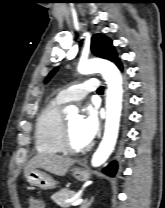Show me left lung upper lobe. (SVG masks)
Wrapping results in <instances>:
<instances>
[{
    "label": "left lung upper lobe",
    "mask_w": 165,
    "mask_h": 208,
    "mask_svg": "<svg viewBox=\"0 0 165 208\" xmlns=\"http://www.w3.org/2000/svg\"><path fill=\"white\" fill-rule=\"evenodd\" d=\"M91 50L94 55L108 59L113 62H117V53L112 45V42L109 38L103 34H95L91 39ZM57 71V68L52 70L46 78V82L53 76Z\"/></svg>",
    "instance_id": "1"
}]
</instances>
